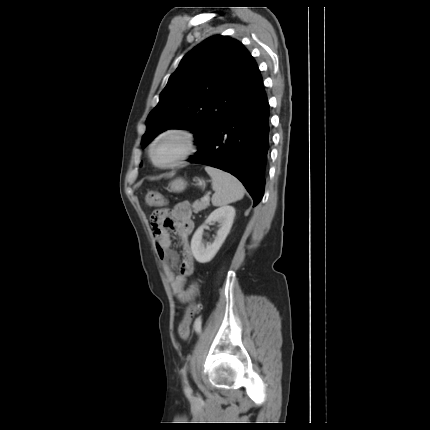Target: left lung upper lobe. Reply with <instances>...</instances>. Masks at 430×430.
Returning a JSON list of instances; mask_svg holds the SVG:
<instances>
[{"label": "left lung upper lobe", "instance_id": "1", "mask_svg": "<svg viewBox=\"0 0 430 430\" xmlns=\"http://www.w3.org/2000/svg\"><path fill=\"white\" fill-rule=\"evenodd\" d=\"M257 64L239 41L212 36L188 52L150 112L144 147L169 128L190 130L197 138L214 126L236 102L255 90Z\"/></svg>", "mask_w": 430, "mask_h": 430}]
</instances>
